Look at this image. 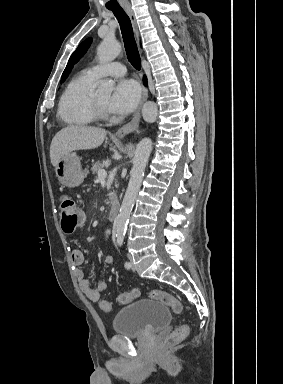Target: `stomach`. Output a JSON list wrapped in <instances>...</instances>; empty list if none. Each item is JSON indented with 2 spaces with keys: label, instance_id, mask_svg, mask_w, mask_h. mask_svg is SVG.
Here are the masks:
<instances>
[{
  "label": "stomach",
  "instance_id": "0dacf381",
  "mask_svg": "<svg viewBox=\"0 0 283 384\" xmlns=\"http://www.w3.org/2000/svg\"><path fill=\"white\" fill-rule=\"evenodd\" d=\"M55 174L62 186L76 188L86 178L87 170H82L81 160L76 152H70L65 158H61L55 166Z\"/></svg>",
  "mask_w": 283,
  "mask_h": 384
}]
</instances>
